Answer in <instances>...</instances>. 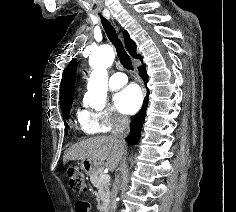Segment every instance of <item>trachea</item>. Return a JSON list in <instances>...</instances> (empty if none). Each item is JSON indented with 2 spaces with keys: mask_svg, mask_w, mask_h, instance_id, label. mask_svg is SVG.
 Wrapping results in <instances>:
<instances>
[{
  "mask_svg": "<svg viewBox=\"0 0 236 212\" xmlns=\"http://www.w3.org/2000/svg\"><path fill=\"white\" fill-rule=\"evenodd\" d=\"M100 18H101V23L103 25V28H104L109 40L116 48V52H117L118 58L120 60V63L127 70H133L131 58L127 54V52L125 51L121 40L118 38L115 28L102 15H100Z\"/></svg>",
  "mask_w": 236,
  "mask_h": 212,
  "instance_id": "1",
  "label": "trachea"
}]
</instances>
